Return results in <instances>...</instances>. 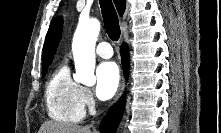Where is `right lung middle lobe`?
Here are the masks:
<instances>
[{
  "mask_svg": "<svg viewBox=\"0 0 221 133\" xmlns=\"http://www.w3.org/2000/svg\"><path fill=\"white\" fill-rule=\"evenodd\" d=\"M49 65H50V63L42 66V75H43V76L46 75V73H47V67H48Z\"/></svg>",
  "mask_w": 221,
  "mask_h": 133,
  "instance_id": "right-lung-middle-lobe-1",
  "label": "right lung middle lobe"
}]
</instances>
